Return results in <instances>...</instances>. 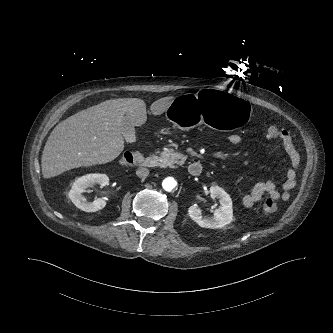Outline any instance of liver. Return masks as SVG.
<instances>
[{"instance_id": "6515ba94", "label": "liver", "mask_w": 333, "mask_h": 333, "mask_svg": "<svg viewBox=\"0 0 333 333\" xmlns=\"http://www.w3.org/2000/svg\"><path fill=\"white\" fill-rule=\"evenodd\" d=\"M174 99L169 96L153 102L152 114L164 113ZM125 116L135 126L145 124V102L138 98L106 100L60 122L44 146L43 177L51 178L74 168L113 161L124 149L121 126Z\"/></svg>"}]
</instances>
